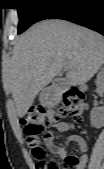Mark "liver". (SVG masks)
<instances>
[{
  "label": "liver",
  "mask_w": 104,
  "mask_h": 169,
  "mask_svg": "<svg viewBox=\"0 0 104 169\" xmlns=\"http://www.w3.org/2000/svg\"><path fill=\"white\" fill-rule=\"evenodd\" d=\"M103 63L101 34L68 21L45 20L17 39L3 74L4 87L12 93L17 115L23 117L64 67L69 68L68 83L77 86L88 82Z\"/></svg>",
  "instance_id": "6515ba94"
}]
</instances>
